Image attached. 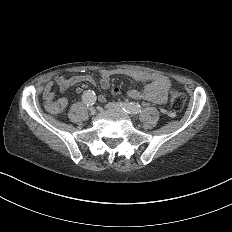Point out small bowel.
Returning a JSON list of instances; mask_svg holds the SVG:
<instances>
[{
    "label": "small bowel",
    "instance_id": "1",
    "mask_svg": "<svg viewBox=\"0 0 232 232\" xmlns=\"http://www.w3.org/2000/svg\"><path fill=\"white\" fill-rule=\"evenodd\" d=\"M116 75L128 76L132 78L133 81L145 85L144 91L128 89L126 94L130 98L145 99L147 101L163 104L167 100L168 91L173 87V81L163 74L146 73L136 69H103L99 71V82L103 89L100 95V100L102 102L108 97L114 98L118 96L116 91L110 89L111 78ZM84 83L95 85L96 80L86 77L68 78L63 74H56L54 79L45 85L44 92L46 95H52L58 87L60 89H65ZM76 91L77 93H81L82 88L78 87Z\"/></svg>",
    "mask_w": 232,
    "mask_h": 232
}]
</instances>
